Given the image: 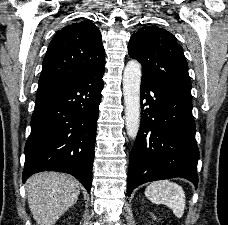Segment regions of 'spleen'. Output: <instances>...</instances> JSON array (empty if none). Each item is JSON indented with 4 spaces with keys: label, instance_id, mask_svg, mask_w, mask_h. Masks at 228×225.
<instances>
[{
    "label": "spleen",
    "instance_id": "1",
    "mask_svg": "<svg viewBox=\"0 0 228 225\" xmlns=\"http://www.w3.org/2000/svg\"><path fill=\"white\" fill-rule=\"evenodd\" d=\"M145 195L151 203L169 207L178 219L183 217L186 197L180 185L171 183V181H155V183L148 185Z\"/></svg>",
    "mask_w": 228,
    "mask_h": 225
}]
</instances>
